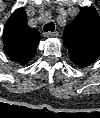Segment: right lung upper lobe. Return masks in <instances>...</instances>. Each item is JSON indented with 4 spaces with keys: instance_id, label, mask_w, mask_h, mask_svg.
<instances>
[{
    "instance_id": "cb5924a9",
    "label": "right lung upper lobe",
    "mask_w": 100,
    "mask_h": 118,
    "mask_svg": "<svg viewBox=\"0 0 100 118\" xmlns=\"http://www.w3.org/2000/svg\"><path fill=\"white\" fill-rule=\"evenodd\" d=\"M40 39L39 32L27 25L25 11L22 8L14 11L4 27L5 53L15 62L24 65L36 54V45Z\"/></svg>"
}]
</instances>
